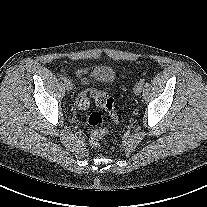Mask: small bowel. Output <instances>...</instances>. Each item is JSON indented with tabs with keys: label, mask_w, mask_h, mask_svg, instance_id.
Returning <instances> with one entry per match:
<instances>
[{
	"label": "small bowel",
	"mask_w": 207,
	"mask_h": 207,
	"mask_svg": "<svg viewBox=\"0 0 207 207\" xmlns=\"http://www.w3.org/2000/svg\"><path fill=\"white\" fill-rule=\"evenodd\" d=\"M88 72H89V69H86V68H81V69H79L78 71H77V76L79 77V78H82V81L84 82V83H86L87 82V79L84 77L86 74H88Z\"/></svg>",
	"instance_id": "obj_1"
}]
</instances>
